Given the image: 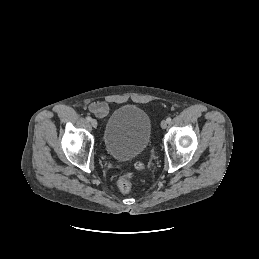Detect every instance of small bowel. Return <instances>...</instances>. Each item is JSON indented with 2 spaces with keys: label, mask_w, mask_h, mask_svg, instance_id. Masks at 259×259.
Masks as SVG:
<instances>
[{
  "label": "small bowel",
  "mask_w": 259,
  "mask_h": 259,
  "mask_svg": "<svg viewBox=\"0 0 259 259\" xmlns=\"http://www.w3.org/2000/svg\"><path fill=\"white\" fill-rule=\"evenodd\" d=\"M89 109L99 118H103L109 112V105L106 102H94L90 104Z\"/></svg>",
  "instance_id": "c3829d8e"
}]
</instances>
